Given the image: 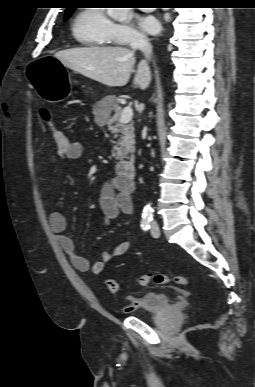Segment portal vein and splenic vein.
<instances>
[{"instance_id": "18ae733b", "label": "portal vein and splenic vein", "mask_w": 255, "mask_h": 387, "mask_svg": "<svg viewBox=\"0 0 255 387\" xmlns=\"http://www.w3.org/2000/svg\"><path fill=\"white\" fill-rule=\"evenodd\" d=\"M132 118H133V109L130 105H128L123 109L119 122L126 124V123H129L132 120Z\"/></svg>"}]
</instances>
